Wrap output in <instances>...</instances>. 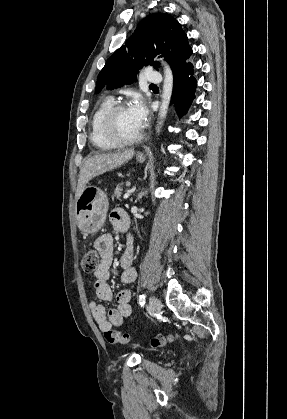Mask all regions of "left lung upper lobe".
Returning <instances> with one entry per match:
<instances>
[{
    "label": "left lung upper lobe",
    "instance_id": "left-lung-upper-lobe-1",
    "mask_svg": "<svg viewBox=\"0 0 287 419\" xmlns=\"http://www.w3.org/2000/svg\"><path fill=\"white\" fill-rule=\"evenodd\" d=\"M158 54L166 58L173 72L184 67L192 54L186 33L179 22L166 13H153L138 24L126 47L119 48L99 73L95 93L105 86L113 89L135 81L138 70L144 65L158 68L159 63L153 61Z\"/></svg>",
    "mask_w": 287,
    "mask_h": 419
}]
</instances>
